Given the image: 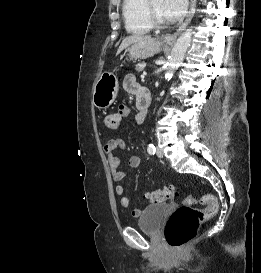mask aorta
I'll return each instance as SVG.
<instances>
[{
    "mask_svg": "<svg viewBox=\"0 0 261 273\" xmlns=\"http://www.w3.org/2000/svg\"><path fill=\"white\" fill-rule=\"evenodd\" d=\"M192 40V30L187 29L180 35L174 44L166 67V75H171L184 60L185 54L190 47Z\"/></svg>",
    "mask_w": 261,
    "mask_h": 273,
    "instance_id": "1",
    "label": "aorta"
}]
</instances>
